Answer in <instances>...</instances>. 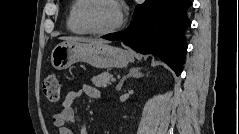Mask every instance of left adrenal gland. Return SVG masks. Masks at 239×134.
Here are the masks:
<instances>
[{
	"label": "left adrenal gland",
	"instance_id": "a2214340",
	"mask_svg": "<svg viewBox=\"0 0 239 134\" xmlns=\"http://www.w3.org/2000/svg\"><path fill=\"white\" fill-rule=\"evenodd\" d=\"M140 70H141V68H131L129 70V73L120 80L119 84L116 87V90L120 91L123 86L124 81L127 80L128 78H130V77L140 78V77L144 76Z\"/></svg>",
	"mask_w": 239,
	"mask_h": 134
}]
</instances>
